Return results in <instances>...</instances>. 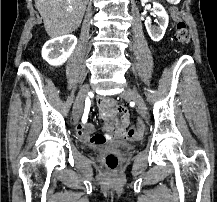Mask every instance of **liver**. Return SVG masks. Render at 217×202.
<instances>
[{"label": "liver", "mask_w": 217, "mask_h": 202, "mask_svg": "<svg viewBox=\"0 0 217 202\" xmlns=\"http://www.w3.org/2000/svg\"><path fill=\"white\" fill-rule=\"evenodd\" d=\"M50 38H60L79 28L88 0H34Z\"/></svg>", "instance_id": "obj_1"}]
</instances>
